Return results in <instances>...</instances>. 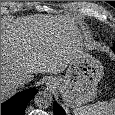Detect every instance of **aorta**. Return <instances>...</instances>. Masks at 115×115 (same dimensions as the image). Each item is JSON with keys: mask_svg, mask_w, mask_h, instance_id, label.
<instances>
[{"mask_svg": "<svg viewBox=\"0 0 115 115\" xmlns=\"http://www.w3.org/2000/svg\"><path fill=\"white\" fill-rule=\"evenodd\" d=\"M34 101L39 108H48L51 106L53 98L50 93L41 91L35 95Z\"/></svg>", "mask_w": 115, "mask_h": 115, "instance_id": "1", "label": "aorta"}]
</instances>
